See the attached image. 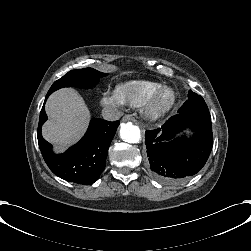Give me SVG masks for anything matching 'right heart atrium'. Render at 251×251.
Returning <instances> with one entry per match:
<instances>
[{"label":"right heart atrium","instance_id":"right-heart-atrium-1","mask_svg":"<svg viewBox=\"0 0 251 251\" xmlns=\"http://www.w3.org/2000/svg\"><path fill=\"white\" fill-rule=\"evenodd\" d=\"M100 103L103 106H114V107H121L123 104L115 94L109 93L107 91L101 95Z\"/></svg>","mask_w":251,"mask_h":251}]
</instances>
